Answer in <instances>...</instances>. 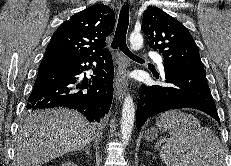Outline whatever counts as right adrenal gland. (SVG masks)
Instances as JSON below:
<instances>
[{
    "instance_id": "2a0ac1e0",
    "label": "right adrenal gland",
    "mask_w": 231,
    "mask_h": 166,
    "mask_svg": "<svg viewBox=\"0 0 231 166\" xmlns=\"http://www.w3.org/2000/svg\"><path fill=\"white\" fill-rule=\"evenodd\" d=\"M83 151L86 152V154H87L90 158H92L88 146H86L85 148H83Z\"/></svg>"
}]
</instances>
